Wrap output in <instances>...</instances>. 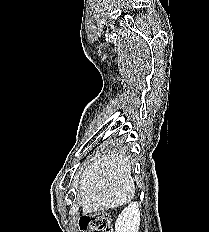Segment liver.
Listing matches in <instances>:
<instances>
[{
    "mask_svg": "<svg viewBox=\"0 0 209 232\" xmlns=\"http://www.w3.org/2000/svg\"><path fill=\"white\" fill-rule=\"evenodd\" d=\"M131 163L127 156L111 153L95 157L85 167L76 181L83 213L120 207L133 199Z\"/></svg>",
    "mask_w": 209,
    "mask_h": 232,
    "instance_id": "obj_1",
    "label": "liver"
}]
</instances>
